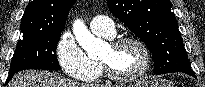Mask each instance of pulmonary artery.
<instances>
[{
    "label": "pulmonary artery",
    "instance_id": "obj_1",
    "mask_svg": "<svg viewBox=\"0 0 205 87\" xmlns=\"http://www.w3.org/2000/svg\"><path fill=\"white\" fill-rule=\"evenodd\" d=\"M90 28L94 33L107 37H113L116 33L113 20L103 15L93 17L90 21Z\"/></svg>",
    "mask_w": 205,
    "mask_h": 87
}]
</instances>
